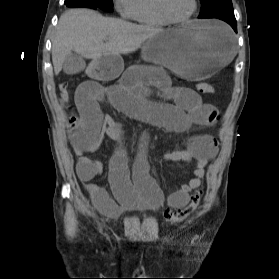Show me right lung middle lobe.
<instances>
[{"mask_svg": "<svg viewBox=\"0 0 279 279\" xmlns=\"http://www.w3.org/2000/svg\"><path fill=\"white\" fill-rule=\"evenodd\" d=\"M90 3L96 5L98 8L105 11H113V0H87Z\"/></svg>", "mask_w": 279, "mask_h": 279, "instance_id": "dd1d6c3e", "label": "right lung middle lobe"}]
</instances>
